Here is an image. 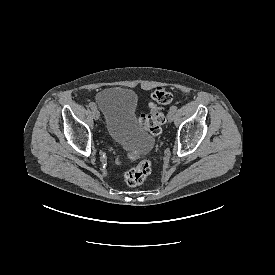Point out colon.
Returning <instances> with one entry per match:
<instances>
[{
    "label": "colon",
    "instance_id": "colon-1",
    "mask_svg": "<svg viewBox=\"0 0 275 275\" xmlns=\"http://www.w3.org/2000/svg\"><path fill=\"white\" fill-rule=\"evenodd\" d=\"M172 100V94L165 88H157L151 95V101L148 104L149 112H140L138 121L140 125L152 135H159L162 126L165 123L163 107ZM130 160H136L139 155L133 152L128 153ZM151 163L148 159L141 158L135 167L128 169L124 173V181L129 186L141 184L151 173Z\"/></svg>",
    "mask_w": 275,
    "mask_h": 275
}]
</instances>
